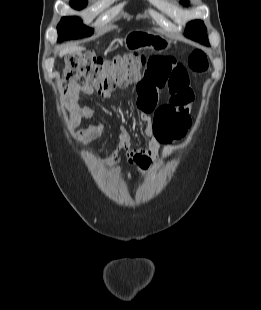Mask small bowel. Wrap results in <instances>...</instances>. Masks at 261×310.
Segmentation results:
<instances>
[{
  "label": "small bowel",
  "instance_id": "1",
  "mask_svg": "<svg viewBox=\"0 0 261 310\" xmlns=\"http://www.w3.org/2000/svg\"><path fill=\"white\" fill-rule=\"evenodd\" d=\"M168 90V103L156 108L158 94ZM94 89L89 86L69 85L65 93L76 100L81 94H92ZM138 106L141 109V120L145 123L144 133L150 138L146 149H131V135L126 127L120 128L119 145L109 157L103 160V165L110 167L116 174L121 171L120 158L124 153L126 164L139 174H144L154 168V160L158 157L171 156L177 146L172 142L182 138L190 125V112L194 106V94L189 86L186 68L174 58L166 55L152 56L147 65L145 77L137 85ZM108 99L110 92H99ZM91 107L73 106L71 123L73 126L84 119L94 116ZM104 131L101 123H94L85 128L79 139L83 145L98 138Z\"/></svg>",
  "mask_w": 261,
  "mask_h": 310
}]
</instances>
